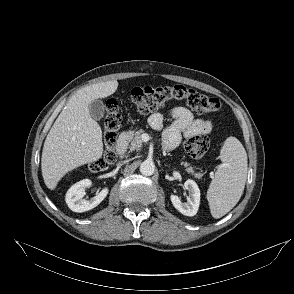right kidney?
<instances>
[{"label":"right kidney","mask_w":294,"mask_h":294,"mask_svg":"<svg viewBox=\"0 0 294 294\" xmlns=\"http://www.w3.org/2000/svg\"><path fill=\"white\" fill-rule=\"evenodd\" d=\"M91 184V180L83 179L68 189L65 200L72 211H89L98 206L105 199L109 191L108 188H103L96 196L89 200L83 198L85 196V188L89 187Z\"/></svg>","instance_id":"ca27d5eb"}]
</instances>
